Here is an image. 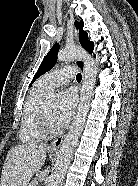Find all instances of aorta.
Returning a JSON list of instances; mask_svg holds the SVG:
<instances>
[{"instance_id": "762f6f07", "label": "aorta", "mask_w": 138, "mask_h": 186, "mask_svg": "<svg viewBox=\"0 0 138 186\" xmlns=\"http://www.w3.org/2000/svg\"><path fill=\"white\" fill-rule=\"evenodd\" d=\"M58 61L67 62L80 59L84 62V79L81 88L80 102L78 111L74 117L69 132L65 136L53 173L51 174L50 186H62L67 168L70 164L73 151L79 141L80 135L84 129L87 115L89 113L90 101L93 95V88L96 83L98 68L94 59L80 47H66L59 51ZM52 99L57 100L58 96L52 94Z\"/></svg>"}]
</instances>
